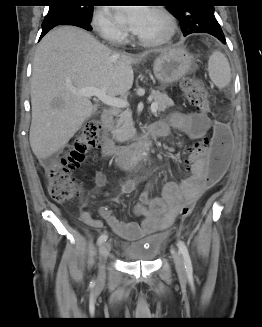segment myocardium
<instances>
[{"instance_id": "f54148a6", "label": "myocardium", "mask_w": 262, "mask_h": 327, "mask_svg": "<svg viewBox=\"0 0 262 327\" xmlns=\"http://www.w3.org/2000/svg\"><path fill=\"white\" fill-rule=\"evenodd\" d=\"M151 11L158 14L162 20L164 21L167 30L166 33L159 38H145L138 34L135 35L136 40L144 45L149 47L162 46L169 43L175 36L177 32V24L174 17L171 15L169 11H167L164 7L154 6L151 8Z\"/></svg>"}]
</instances>
